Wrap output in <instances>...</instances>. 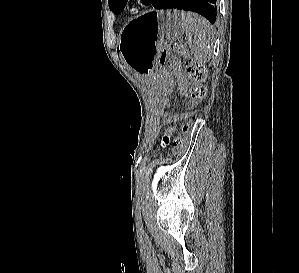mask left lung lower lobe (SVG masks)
<instances>
[{
    "instance_id": "0a47b994",
    "label": "left lung lower lobe",
    "mask_w": 299,
    "mask_h": 273,
    "mask_svg": "<svg viewBox=\"0 0 299 273\" xmlns=\"http://www.w3.org/2000/svg\"><path fill=\"white\" fill-rule=\"evenodd\" d=\"M156 9H180L197 12L212 24L216 21V0H153Z\"/></svg>"
}]
</instances>
